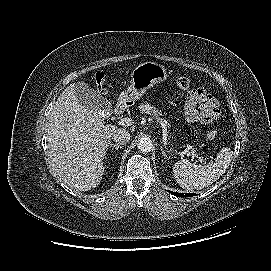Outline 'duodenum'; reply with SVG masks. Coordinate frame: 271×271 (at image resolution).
<instances>
[{"mask_svg": "<svg viewBox=\"0 0 271 271\" xmlns=\"http://www.w3.org/2000/svg\"><path fill=\"white\" fill-rule=\"evenodd\" d=\"M126 107L127 106L124 103H118L117 106H116V108H115L114 113L116 115H120V114H122L125 111Z\"/></svg>", "mask_w": 271, "mask_h": 271, "instance_id": "1", "label": "duodenum"}]
</instances>
